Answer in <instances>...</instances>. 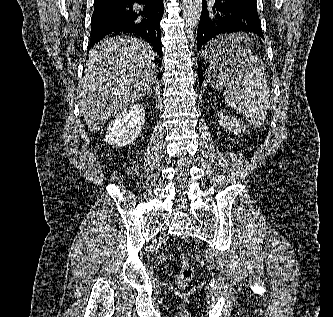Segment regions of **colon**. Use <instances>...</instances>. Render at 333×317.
I'll list each match as a JSON object with an SVG mask.
<instances>
[{
  "instance_id": "obj_1",
  "label": "colon",
  "mask_w": 333,
  "mask_h": 317,
  "mask_svg": "<svg viewBox=\"0 0 333 317\" xmlns=\"http://www.w3.org/2000/svg\"><path fill=\"white\" fill-rule=\"evenodd\" d=\"M179 259H180V270L176 278V284L180 288H184L192 281L194 277V269L190 260L186 255L184 254L180 255Z\"/></svg>"
}]
</instances>
